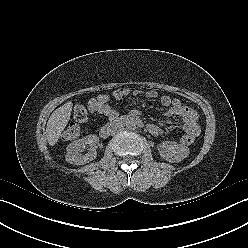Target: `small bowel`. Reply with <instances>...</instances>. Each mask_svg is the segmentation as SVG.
Instances as JSON below:
<instances>
[{
  "label": "small bowel",
  "mask_w": 248,
  "mask_h": 248,
  "mask_svg": "<svg viewBox=\"0 0 248 248\" xmlns=\"http://www.w3.org/2000/svg\"><path fill=\"white\" fill-rule=\"evenodd\" d=\"M140 94H142V92L139 90L131 91L127 88L115 90L112 95L104 93L98 97L101 102L98 112L108 119L116 118L118 113L116 108L110 105L111 97L115 100H122L130 95L137 96ZM144 95L147 99H155L158 97V93L155 90H149L145 92ZM160 102L164 107L168 108L165 112V116H178L183 120L185 135L192 136L194 138L199 135V114L196 110L182 104L180 100L171 98L168 95L161 96ZM148 130L154 136H158L163 132V129L160 126L153 123L148 125Z\"/></svg>",
  "instance_id": "obj_1"
}]
</instances>
